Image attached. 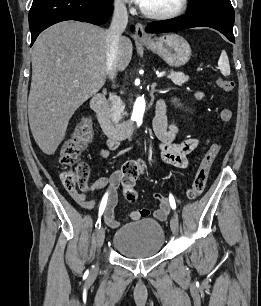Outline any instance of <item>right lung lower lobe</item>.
<instances>
[{"label": "right lung lower lobe", "instance_id": "98d812e1", "mask_svg": "<svg viewBox=\"0 0 261 306\" xmlns=\"http://www.w3.org/2000/svg\"><path fill=\"white\" fill-rule=\"evenodd\" d=\"M112 9V3L101 0H33L29 12L31 46L44 29L55 23L77 20L101 25L110 18Z\"/></svg>", "mask_w": 261, "mask_h": 306}]
</instances>
